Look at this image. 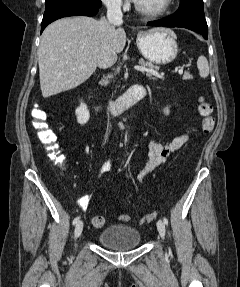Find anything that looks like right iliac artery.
Here are the masks:
<instances>
[{
  "instance_id": "1",
  "label": "right iliac artery",
  "mask_w": 240,
  "mask_h": 287,
  "mask_svg": "<svg viewBox=\"0 0 240 287\" xmlns=\"http://www.w3.org/2000/svg\"><path fill=\"white\" fill-rule=\"evenodd\" d=\"M78 221H79V217H76V218H74L72 224L75 225V224H77Z\"/></svg>"
}]
</instances>
